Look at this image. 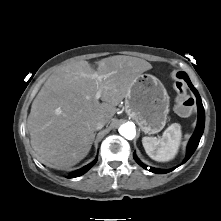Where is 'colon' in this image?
I'll return each mask as SVG.
<instances>
[{
	"mask_svg": "<svg viewBox=\"0 0 221 221\" xmlns=\"http://www.w3.org/2000/svg\"><path fill=\"white\" fill-rule=\"evenodd\" d=\"M174 88L177 93L175 110L180 116L187 117L192 112L193 100L188 96L186 86L182 81H176Z\"/></svg>",
	"mask_w": 221,
	"mask_h": 221,
	"instance_id": "obj_1",
	"label": "colon"
}]
</instances>
